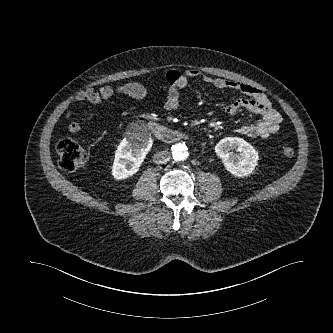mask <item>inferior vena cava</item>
I'll list each match as a JSON object with an SVG mask.
<instances>
[{"instance_id":"inferior-vena-cava-1","label":"inferior vena cava","mask_w":333,"mask_h":333,"mask_svg":"<svg viewBox=\"0 0 333 333\" xmlns=\"http://www.w3.org/2000/svg\"><path fill=\"white\" fill-rule=\"evenodd\" d=\"M170 158L169 152L165 150L158 151L153 156V160L157 164H166L170 161Z\"/></svg>"}]
</instances>
